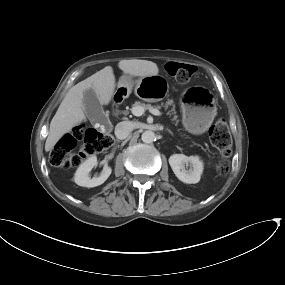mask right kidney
Returning <instances> with one entry per match:
<instances>
[{
    "instance_id": "obj_1",
    "label": "right kidney",
    "mask_w": 285,
    "mask_h": 285,
    "mask_svg": "<svg viewBox=\"0 0 285 285\" xmlns=\"http://www.w3.org/2000/svg\"><path fill=\"white\" fill-rule=\"evenodd\" d=\"M97 164L96 156H92L83 162L75 173V183L83 187H96L103 184L110 176L112 169L108 165H104L100 176L91 178L89 173Z\"/></svg>"
}]
</instances>
